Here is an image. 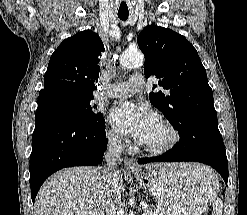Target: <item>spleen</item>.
<instances>
[{"instance_id": "obj_1", "label": "spleen", "mask_w": 247, "mask_h": 215, "mask_svg": "<svg viewBox=\"0 0 247 215\" xmlns=\"http://www.w3.org/2000/svg\"><path fill=\"white\" fill-rule=\"evenodd\" d=\"M222 206L223 204L221 199H214L212 215H222Z\"/></svg>"}]
</instances>
